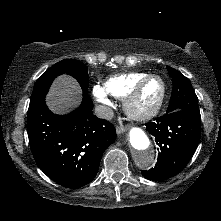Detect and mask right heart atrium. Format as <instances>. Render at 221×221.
<instances>
[{
	"mask_svg": "<svg viewBox=\"0 0 221 221\" xmlns=\"http://www.w3.org/2000/svg\"><path fill=\"white\" fill-rule=\"evenodd\" d=\"M93 95L99 103L106 105V106L110 105L107 92L105 91L103 87L99 85H95L93 87Z\"/></svg>",
	"mask_w": 221,
	"mask_h": 221,
	"instance_id": "right-heart-atrium-1",
	"label": "right heart atrium"
}]
</instances>
